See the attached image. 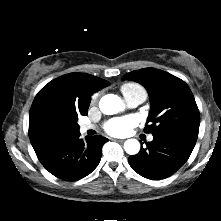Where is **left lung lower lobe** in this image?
I'll return each instance as SVG.
<instances>
[{
	"label": "left lung lower lobe",
	"mask_w": 221,
	"mask_h": 221,
	"mask_svg": "<svg viewBox=\"0 0 221 221\" xmlns=\"http://www.w3.org/2000/svg\"><path fill=\"white\" fill-rule=\"evenodd\" d=\"M196 140L178 132L153 135V141L146 143L137 155L128 161L141 176L160 180L175 173L189 158Z\"/></svg>",
	"instance_id": "0a47b994"
}]
</instances>
